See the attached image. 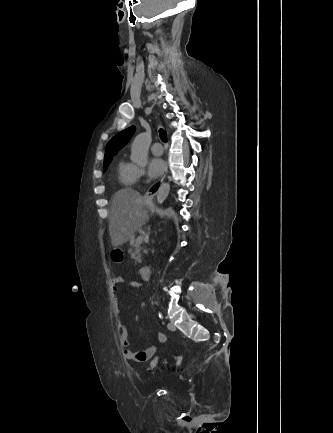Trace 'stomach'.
I'll return each mask as SVG.
<instances>
[{
    "label": "stomach",
    "instance_id": "0dacf381",
    "mask_svg": "<svg viewBox=\"0 0 333 433\" xmlns=\"http://www.w3.org/2000/svg\"><path fill=\"white\" fill-rule=\"evenodd\" d=\"M151 203V200L144 199V205H149ZM171 217H174V214H171Z\"/></svg>",
    "mask_w": 333,
    "mask_h": 433
}]
</instances>
